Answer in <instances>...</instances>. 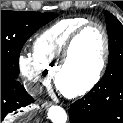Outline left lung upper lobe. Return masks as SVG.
Wrapping results in <instances>:
<instances>
[{
    "label": "left lung upper lobe",
    "instance_id": "left-lung-upper-lobe-1",
    "mask_svg": "<svg viewBox=\"0 0 123 123\" xmlns=\"http://www.w3.org/2000/svg\"><path fill=\"white\" fill-rule=\"evenodd\" d=\"M109 37L108 66L99 85L110 86L123 79V25L108 11L104 12Z\"/></svg>",
    "mask_w": 123,
    "mask_h": 123
}]
</instances>
